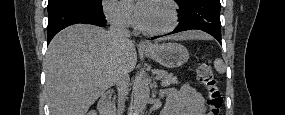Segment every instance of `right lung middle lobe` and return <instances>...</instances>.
<instances>
[{
  "label": "right lung middle lobe",
  "mask_w": 285,
  "mask_h": 115,
  "mask_svg": "<svg viewBox=\"0 0 285 115\" xmlns=\"http://www.w3.org/2000/svg\"><path fill=\"white\" fill-rule=\"evenodd\" d=\"M69 7H80L96 11H102V0H49L48 15Z\"/></svg>",
  "instance_id": "obj_1"
}]
</instances>
